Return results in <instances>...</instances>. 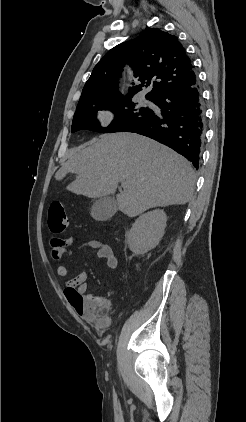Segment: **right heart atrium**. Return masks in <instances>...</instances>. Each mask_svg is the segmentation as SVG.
<instances>
[{"instance_id": "d8ad5b80", "label": "right heart atrium", "mask_w": 246, "mask_h": 422, "mask_svg": "<svg viewBox=\"0 0 246 422\" xmlns=\"http://www.w3.org/2000/svg\"><path fill=\"white\" fill-rule=\"evenodd\" d=\"M97 120L103 126H108L115 120V113L110 108H102L97 112Z\"/></svg>"}]
</instances>
